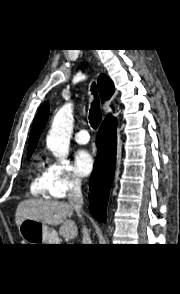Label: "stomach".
<instances>
[{"label":"stomach","mask_w":180,"mask_h":294,"mask_svg":"<svg viewBox=\"0 0 180 294\" xmlns=\"http://www.w3.org/2000/svg\"><path fill=\"white\" fill-rule=\"evenodd\" d=\"M18 229L25 244H52L57 238L52 228L31 219L23 220Z\"/></svg>","instance_id":"stomach-1"}]
</instances>
